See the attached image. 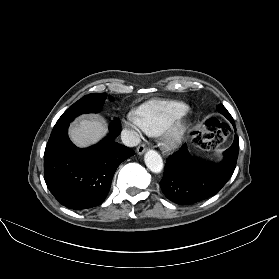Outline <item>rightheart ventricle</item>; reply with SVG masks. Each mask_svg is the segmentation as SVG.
<instances>
[{
    "instance_id": "1",
    "label": "right heart ventricle",
    "mask_w": 279,
    "mask_h": 279,
    "mask_svg": "<svg viewBox=\"0 0 279 279\" xmlns=\"http://www.w3.org/2000/svg\"><path fill=\"white\" fill-rule=\"evenodd\" d=\"M188 110L189 106L184 102L156 100L140 106L137 115L142 131L151 136H159L184 116Z\"/></svg>"
}]
</instances>
